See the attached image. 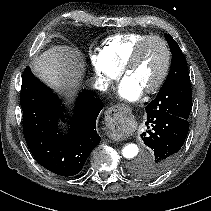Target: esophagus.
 Wrapping results in <instances>:
<instances>
[{
    "mask_svg": "<svg viewBox=\"0 0 211 211\" xmlns=\"http://www.w3.org/2000/svg\"><path fill=\"white\" fill-rule=\"evenodd\" d=\"M126 107L122 106V105H114L112 107L109 108V112L111 113H118L122 110H125ZM109 138L113 139V140H118V138L116 136H112L111 134L108 135Z\"/></svg>",
    "mask_w": 211,
    "mask_h": 211,
    "instance_id": "1",
    "label": "esophagus"
}]
</instances>
